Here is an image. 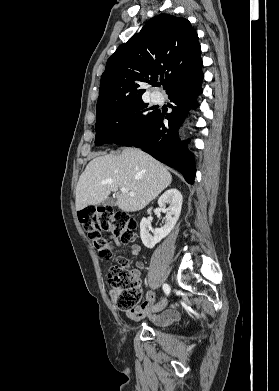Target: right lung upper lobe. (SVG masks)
I'll list each match as a JSON object with an SVG mask.
<instances>
[{
	"label": "right lung upper lobe",
	"mask_w": 279,
	"mask_h": 391,
	"mask_svg": "<svg viewBox=\"0 0 279 391\" xmlns=\"http://www.w3.org/2000/svg\"><path fill=\"white\" fill-rule=\"evenodd\" d=\"M201 47L190 22L169 14L150 19L108 59L96 113L142 100L143 83L164 77L166 93L201 71Z\"/></svg>",
	"instance_id": "cb5924a9"
}]
</instances>
